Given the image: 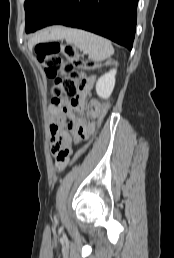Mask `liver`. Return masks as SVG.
<instances>
[{"instance_id":"obj_1","label":"liver","mask_w":174,"mask_h":258,"mask_svg":"<svg viewBox=\"0 0 174 258\" xmlns=\"http://www.w3.org/2000/svg\"><path fill=\"white\" fill-rule=\"evenodd\" d=\"M61 28H53L46 31L39 33L34 39L30 41V44L33 45L37 42L47 41L50 39L58 38V33L60 32Z\"/></svg>"}]
</instances>
